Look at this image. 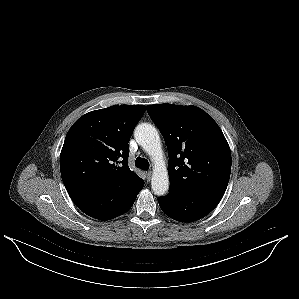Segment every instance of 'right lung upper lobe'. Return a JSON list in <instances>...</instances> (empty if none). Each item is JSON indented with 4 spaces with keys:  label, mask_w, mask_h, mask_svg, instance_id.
Listing matches in <instances>:
<instances>
[{
    "label": "right lung upper lobe",
    "mask_w": 299,
    "mask_h": 299,
    "mask_svg": "<svg viewBox=\"0 0 299 299\" xmlns=\"http://www.w3.org/2000/svg\"><path fill=\"white\" fill-rule=\"evenodd\" d=\"M144 105H115L80 117L60 154V171L69 195L118 185L127 201L144 186L128 166V142Z\"/></svg>",
    "instance_id": "obj_1"
}]
</instances>
